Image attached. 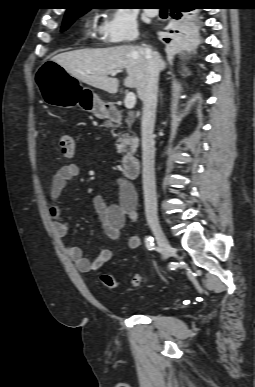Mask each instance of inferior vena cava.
<instances>
[{
	"mask_svg": "<svg viewBox=\"0 0 255 387\" xmlns=\"http://www.w3.org/2000/svg\"><path fill=\"white\" fill-rule=\"evenodd\" d=\"M145 80L138 95L143 102L142 150H143V191L145 214L148 222H158L155 185V148L153 129L156 117L159 72L152 51L145 47Z\"/></svg>",
	"mask_w": 255,
	"mask_h": 387,
	"instance_id": "1",
	"label": "inferior vena cava"
}]
</instances>
